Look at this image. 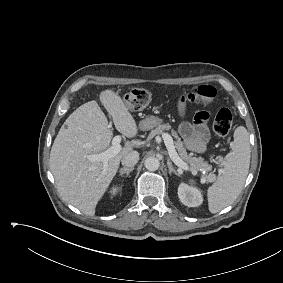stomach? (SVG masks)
Listing matches in <instances>:
<instances>
[{"mask_svg": "<svg viewBox=\"0 0 283 283\" xmlns=\"http://www.w3.org/2000/svg\"><path fill=\"white\" fill-rule=\"evenodd\" d=\"M162 122L163 120L161 118L157 116H150L140 121L139 127L142 130H150V129L158 127L159 125L162 124Z\"/></svg>", "mask_w": 283, "mask_h": 283, "instance_id": "stomach-1", "label": "stomach"}]
</instances>
